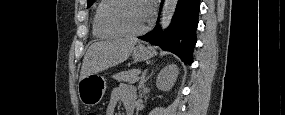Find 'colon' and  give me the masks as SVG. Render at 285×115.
Returning a JSON list of instances; mask_svg holds the SVG:
<instances>
[{"label":"colon","mask_w":285,"mask_h":115,"mask_svg":"<svg viewBox=\"0 0 285 115\" xmlns=\"http://www.w3.org/2000/svg\"><path fill=\"white\" fill-rule=\"evenodd\" d=\"M88 115H95V113H93V112H90V113H88Z\"/></svg>","instance_id":"1"}]
</instances>
